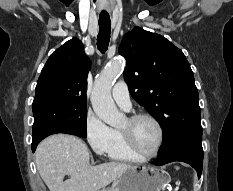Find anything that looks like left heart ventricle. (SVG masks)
<instances>
[{
	"instance_id": "1",
	"label": "left heart ventricle",
	"mask_w": 233,
	"mask_h": 191,
	"mask_svg": "<svg viewBox=\"0 0 233 191\" xmlns=\"http://www.w3.org/2000/svg\"><path fill=\"white\" fill-rule=\"evenodd\" d=\"M121 130L131 131L138 148L144 154H152L155 151L158 143V131L150 120L141 119L132 125L126 120Z\"/></svg>"
}]
</instances>
